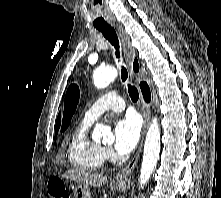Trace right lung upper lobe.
I'll list each match as a JSON object with an SVG mask.
<instances>
[{
    "label": "right lung upper lobe",
    "mask_w": 221,
    "mask_h": 198,
    "mask_svg": "<svg viewBox=\"0 0 221 198\" xmlns=\"http://www.w3.org/2000/svg\"><path fill=\"white\" fill-rule=\"evenodd\" d=\"M133 68L135 72L139 70V65L136 59L133 64ZM59 127H60V114L58 115L57 122H56V132H58Z\"/></svg>",
    "instance_id": "right-lung-upper-lobe-1"
}]
</instances>
